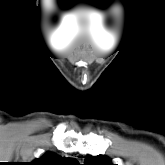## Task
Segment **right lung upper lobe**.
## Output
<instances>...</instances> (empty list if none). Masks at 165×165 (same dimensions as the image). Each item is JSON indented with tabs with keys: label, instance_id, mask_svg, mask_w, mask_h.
<instances>
[{
	"label": "right lung upper lobe",
	"instance_id": "obj_1",
	"mask_svg": "<svg viewBox=\"0 0 165 165\" xmlns=\"http://www.w3.org/2000/svg\"><path fill=\"white\" fill-rule=\"evenodd\" d=\"M31 165H80L77 160L62 158L53 153H46L41 158L30 163Z\"/></svg>",
	"mask_w": 165,
	"mask_h": 165
}]
</instances>
